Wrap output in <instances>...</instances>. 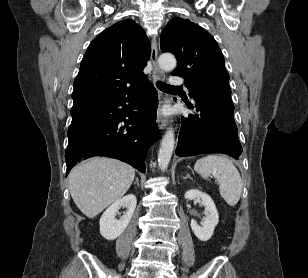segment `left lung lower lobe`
I'll use <instances>...</instances> for the list:
<instances>
[{"instance_id": "1", "label": "left lung lower lobe", "mask_w": 308, "mask_h": 278, "mask_svg": "<svg viewBox=\"0 0 308 278\" xmlns=\"http://www.w3.org/2000/svg\"><path fill=\"white\" fill-rule=\"evenodd\" d=\"M191 98L196 102L195 112L181 120L176 154L182 157L224 153L238 159L242 147L233 118L229 83L207 86L192 94ZM186 104L193 108L189 102Z\"/></svg>"}]
</instances>
